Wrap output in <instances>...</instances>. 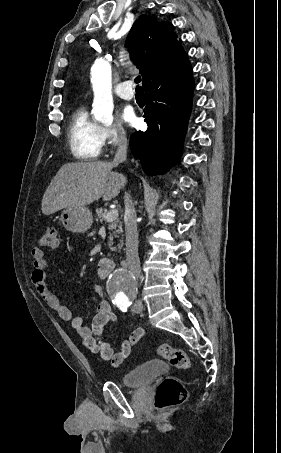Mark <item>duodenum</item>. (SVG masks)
Listing matches in <instances>:
<instances>
[{"label":"duodenum","mask_w":281,"mask_h":453,"mask_svg":"<svg viewBox=\"0 0 281 453\" xmlns=\"http://www.w3.org/2000/svg\"><path fill=\"white\" fill-rule=\"evenodd\" d=\"M115 267V263L110 258H102L98 262V273L100 277L106 278L110 275Z\"/></svg>","instance_id":"duodenum-1"}]
</instances>
